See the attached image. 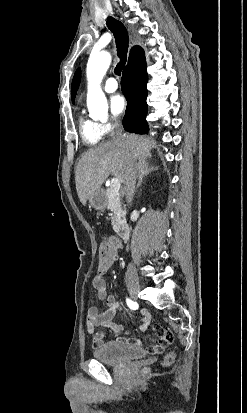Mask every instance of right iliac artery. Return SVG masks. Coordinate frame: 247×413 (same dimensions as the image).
<instances>
[{
    "label": "right iliac artery",
    "mask_w": 247,
    "mask_h": 413,
    "mask_svg": "<svg viewBox=\"0 0 247 413\" xmlns=\"http://www.w3.org/2000/svg\"><path fill=\"white\" fill-rule=\"evenodd\" d=\"M126 302H127V305L130 309H132V310L138 309V303L137 302H134L129 298L126 299Z\"/></svg>",
    "instance_id": "right-iliac-artery-1"
}]
</instances>
